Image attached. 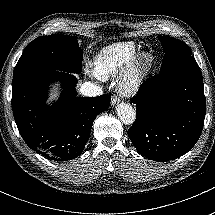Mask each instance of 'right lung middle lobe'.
Segmentation results:
<instances>
[{"label":"right lung middle lobe","instance_id":"1","mask_svg":"<svg viewBox=\"0 0 215 215\" xmlns=\"http://www.w3.org/2000/svg\"><path fill=\"white\" fill-rule=\"evenodd\" d=\"M82 59L83 50L77 37L61 34L41 36L27 45L14 68L13 78L36 69L80 73Z\"/></svg>","mask_w":215,"mask_h":215}]
</instances>
